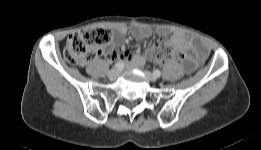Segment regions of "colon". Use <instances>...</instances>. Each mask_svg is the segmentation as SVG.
<instances>
[{"label":"colon","instance_id":"1","mask_svg":"<svg viewBox=\"0 0 261 150\" xmlns=\"http://www.w3.org/2000/svg\"><path fill=\"white\" fill-rule=\"evenodd\" d=\"M111 31L92 27L71 34L64 48V58L70 64L85 65L103 53L104 47L111 41ZM149 58L155 62L183 60V52L170 39H159L151 47Z\"/></svg>","mask_w":261,"mask_h":150}]
</instances>
